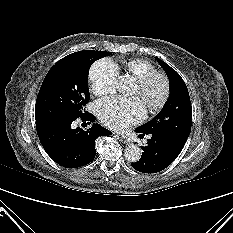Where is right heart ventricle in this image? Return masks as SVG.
<instances>
[{"instance_id": "obj_1", "label": "right heart ventricle", "mask_w": 233, "mask_h": 233, "mask_svg": "<svg viewBox=\"0 0 233 233\" xmlns=\"http://www.w3.org/2000/svg\"><path fill=\"white\" fill-rule=\"evenodd\" d=\"M123 70L131 74L137 80L151 73L157 72L155 66L144 59H131L123 63Z\"/></svg>"}]
</instances>
